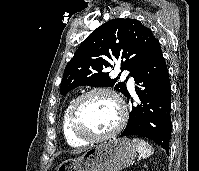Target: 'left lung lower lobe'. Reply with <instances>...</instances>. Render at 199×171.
I'll return each mask as SVG.
<instances>
[{"label": "left lung lower lobe", "instance_id": "obj_1", "mask_svg": "<svg viewBox=\"0 0 199 171\" xmlns=\"http://www.w3.org/2000/svg\"><path fill=\"white\" fill-rule=\"evenodd\" d=\"M134 78L140 104L132 105L128 124L120 137L139 135L149 138L168 154L172 131L171 86L159 43ZM125 96L129 98V93Z\"/></svg>", "mask_w": 199, "mask_h": 171}]
</instances>
